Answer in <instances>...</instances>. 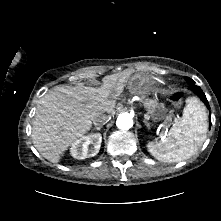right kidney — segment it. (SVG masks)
I'll return each mask as SVG.
<instances>
[{
	"mask_svg": "<svg viewBox=\"0 0 221 221\" xmlns=\"http://www.w3.org/2000/svg\"><path fill=\"white\" fill-rule=\"evenodd\" d=\"M102 136L100 133L89 134L77 139L71 146V155L76 159H85L95 156L101 147ZM92 145L89 148V145Z\"/></svg>",
	"mask_w": 221,
	"mask_h": 221,
	"instance_id": "right-kidney-1",
	"label": "right kidney"
}]
</instances>
